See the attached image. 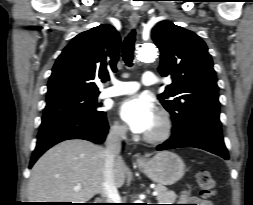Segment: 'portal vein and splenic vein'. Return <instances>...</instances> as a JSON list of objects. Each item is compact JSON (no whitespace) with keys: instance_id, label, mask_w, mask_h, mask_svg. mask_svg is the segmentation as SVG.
Listing matches in <instances>:
<instances>
[{"instance_id":"1","label":"portal vein and splenic vein","mask_w":253,"mask_h":205,"mask_svg":"<svg viewBox=\"0 0 253 205\" xmlns=\"http://www.w3.org/2000/svg\"><path fill=\"white\" fill-rule=\"evenodd\" d=\"M80 189H81V184H77V185L74 187V190H75V191H78V190H80ZM152 195H153V196H157V195H158V192L155 190V191L152 192Z\"/></svg>"}]
</instances>
